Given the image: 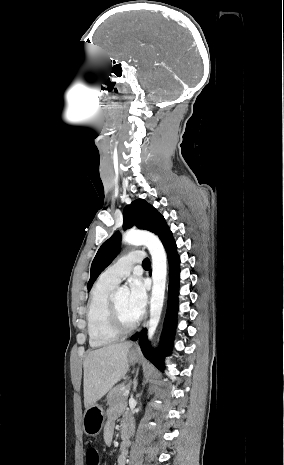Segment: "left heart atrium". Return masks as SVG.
Returning a JSON list of instances; mask_svg holds the SVG:
<instances>
[{"mask_svg":"<svg viewBox=\"0 0 284 465\" xmlns=\"http://www.w3.org/2000/svg\"><path fill=\"white\" fill-rule=\"evenodd\" d=\"M147 303V293L143 282L134 278L130 281V290L128 294V305L131 311L140 317Z\"/></svg>","mask_w":284,"mask_h":465,"instance_id":"left-heart-atrium-1","label":"left heart atrium"}]
</instances>
